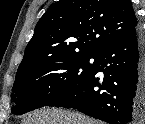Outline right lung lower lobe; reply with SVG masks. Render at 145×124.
Returning a JSON list of instances; mask_svg holds the SVG:
<instances>
[{
	"label": "right lung lower lobe",
	"instance_id": "1",
	"mask_svg": "<svg viewBox=\"0 0 145 124\" xmlns=\"http://www.w3.org/2000/svg\"><path fill=\"white\" fill-rule=\"evenodd\" d=\"M45 106L77 109L110 124H136L145 113V36L139 26L104 46L90 75Z\"/></svg>",
	"mask_w": 145,
	"mask_h": 124
}]
</instances>
